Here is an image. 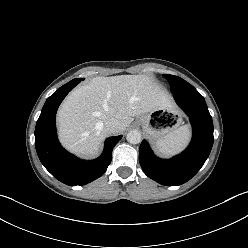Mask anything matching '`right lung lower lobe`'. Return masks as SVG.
Wrapping results in <instances>:
<instances>
[{"label": "right lung lower lobe", "instance_id": "1", "mask_svg": "<svg viewBox=\"0 0 248 248\" xmlns=\"http://www.w3.org/2000/svg\"><path fill=\"white\" fill-rule=\"evenodd\" d=\"M79 82L80 79L68 82L46 100L35 128V147L41 163L56 179L70 186L85 185L102 176L111 162L113 147L122 138L109 137L102 155L89 161L75 157L60 145L55 127L56 112Z\"/></svg>", "mask_w": 248, "mask_h": 248}]
</instances>
